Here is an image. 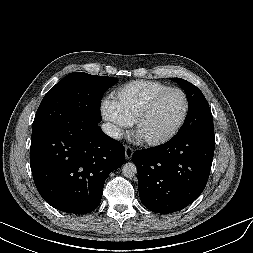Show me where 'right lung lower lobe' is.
Segmentation results:
<instances>
[{"label":"right lung lower lobe","mask_w":253,"mask_h":253,"mask_svg":"<svg viewBox=\"0 0 253 253\" xmlns=\"http://www.w3.org/2000/svg\"><path fill=\"white\" fill-rule=\"evenodd\" d=\"M124 161V147L95 123L60 124L31 136L36 188L48 204L63 212L85 214L96 209L105 180Z\"/></svg>","instance_id":"right-lung-lower-lobe-1"}]
</instances>
